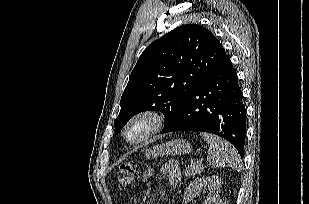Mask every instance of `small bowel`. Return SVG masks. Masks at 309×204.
Here are the masks:
<instances>
[{"instance_id": "c3829d8e", "label": "small bowel", "mask_w": 309, "mask_h": 204, "mask_svg": "<svg viewBox=\"0 0 309 204\" xmlns=\"http://www.w3.org/2000/svg\"><path fill=\"white\" fill-rule=\"evenodd\" d=\"M164 172L168 175L169 181L172 185H175L180 179V166L176 161H168L164 165ZM155 176V170L149 168L145 171V179H150Z\"/></svg>"}]
</instances>
